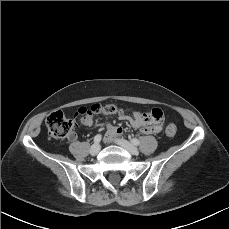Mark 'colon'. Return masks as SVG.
<instances>
[{"mask_svg": "<svg viewBox=\"0 0 229 229\" xmlns=\"http://www.w3.org/2000/svg\"><path fill=\"white\" fill-rule=\"evenodd\" d=\"M119 111V108L115 104H93L90 107H82L79 109V114H103L112 115ZM145 120L147 123H155L157 127H160L164 122V113L161 109H153L146 113ZM46 126L49 135L54 139H64L68 137L74 127V124L69 120L61 110L54 111L49 114L46 119ZM166 135L172 137L176 133L175 125H168Z\"/></svg>", "mask_w": 229, "mask_h": 229, "instance_id": "colon-1", "label": "colon"}]
</instances>
